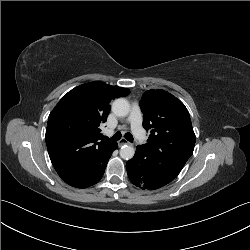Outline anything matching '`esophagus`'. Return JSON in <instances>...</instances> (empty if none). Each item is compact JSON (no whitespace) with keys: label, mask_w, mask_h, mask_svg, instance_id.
<instances>
[{"label":"esophagus","mask_w":250,"mask_h":250,"mask_svg":"<svg viewBox=\"0 0 250 250\" xmlns=\"http://www.w3.org/2000/svg\"><path fill=\"white\" fill-rule=\"evenodd\" d=\"M130 143L126 140V139H124V138H122V139H120L119 141H118V146L119 147H121V146H123V145H129Z\"/></svg>","instance_id":"obj_1"}]
</instances>
